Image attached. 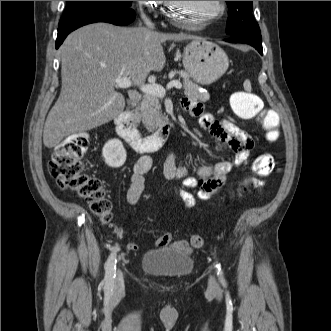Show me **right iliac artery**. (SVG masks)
<instances>
[{
	"mask_svg": "<svg viewBox=\"0 0 331 331\" xmlns=\"http://www.w3.org/2000/svg\"><path fill=\"white\" fill-rule=\"evenodd\" d=\"M119 250L118 246L112 248V252L108 257L105 264V289L107 291H112L114 287V278L116 273V253Z\"/></svg>",
	"mask_w": 331,
	"mask_h": 331,
	"instance_id": "obj_1",
	"label": "right iliac artery"
}]
</instances>
